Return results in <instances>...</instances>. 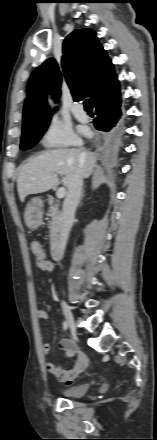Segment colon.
Instances as JSON below:
<instances>
[{
  "label": "colon",
  "instance_id": "obj_1",
  "mask_svg": "<svg viewBox=\"0 0 157 440\" xmlns=\"http://www.w3.org/2000/svg\"><path fill=\"white\" fill-rule=\"evenodd\" d=\"M31 251L34 254V256L36 257V266L38 269L40 270H44L49 261L46 258L45 252L43 247L41 246V244L38 241H33L31 243ZM73 380H70L67 382V385H72Z\"/></svg>",
  "mask_w": 157,
  "mask_h": 440
}]
</instances>
